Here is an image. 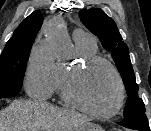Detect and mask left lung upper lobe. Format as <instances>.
<instances>
[{"label": "left lung upper lobe", "instance_id": "1", "mask_svg": "<svg viewBox=\"0 0 151 131\" xmlns=\"http://www.w3.org/2000/svg\"><path fill=\"white\" fill-rule=\"evenodd\" d=\"M79 16L82 23L100 39L102 46L112 53L128 94L124 117L144 114L145 105L138 94L139 87L131 65L129 49L122 41L115 22L101 9L81 10Z\"/></svg>", "mask_w": 151, "mask_h": 131}]
</instances>
